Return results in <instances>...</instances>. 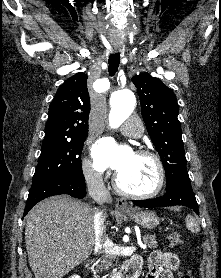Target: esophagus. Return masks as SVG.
Here are the masks:
<instances>
[{
    "label": "esophagus",
    "mask_w": 221,
    "mask_h": 278,
    "mask_svg": "<svg viewBox=\"0 0 221 278\" xmlns=\"http://www.w3.org/2000/svg\"><path fill=\"white\" fill-rule=\"evenodd\" d=\"M115 207L119 211H128V210H130L129 204L123 198H117L116 203H115Z\"/></svg>",
    "instance_id": "esophagus-1"
}]
</instances>
